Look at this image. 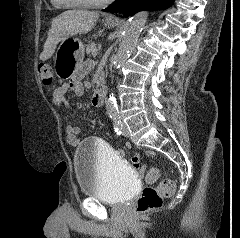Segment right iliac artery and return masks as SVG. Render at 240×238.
<instances>
[{"mask_svg":"<svg viewBox=\"0 0 240 238\" xmlns=\"http://www.w3.org/2000/svg\"><path fill=\"white\" fill-rule=\"evenodd\" d=\"M113 125H114V130L117 135H121V130H122V124L120 117H113Z\"/></svg>","mask_w":240,"mask_h":238,"instance_id":"right-iliac-artery-1","label":"right iliac artery"}]
</instances>
